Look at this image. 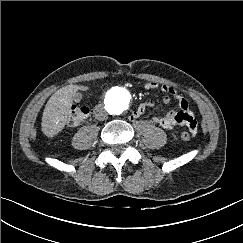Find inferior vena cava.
Returning <instances> with one entry per match:
<instances>
[{
	"label": "inferior vena cava",
	"instance_id": "inferior-vena-cava-1",
	"mask_svg": "<svg viewBox=\"0 0 243 243\" xmlns=\"http://www.w3.org/2000/svg\"><path fill=\"white\" fill-rule=\"evenodd\" d=\"M95 118L99 121L106 120L108 118V114L103 107H98L94 112Z\"/></svg>",
	"mask_w": 243,
	"mask_h": 243
}]
</instances>
